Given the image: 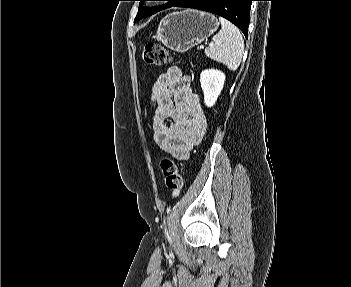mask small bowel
Returning <instances> with one entry per match:
<instances>
[{
    "mask_svg": "<svg viewBox=\"0 0 351 287\" xmlns=\"http://www.w3.org/2000/svg\"><path fill=\"white\" fill-rule=\"evenodd\" d=\"M150 101L156 144L164 152L187 159L207 128L200 97L192 91L189 77L178 67H170L153 84Z\"/></svg>",
    "mask_w": 351,
    "mask_h": 287,
    "instance_id": "small-bowel-1",
    "label": "small bowel"
}]
</instances>
